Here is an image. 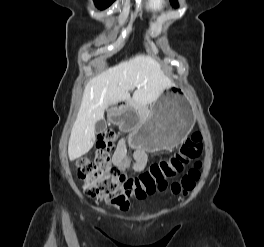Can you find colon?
<instances>
[{
    "instance_id": "1",
    "label": "colon",
    "mask_w": 264,
    "mask_h": 247,
    "mask_svg": "<svg viewBox=\"0 0 264 247\" xmlns=\"http://www.w3.org/2000/svg\"><path fill=\"white\" fill-rule=\"evenodd\" d=\"M117 137L111 127L104 128L98 136L97 151L93 160L83 157L77 163V175L83 182L85 194L92 199L109 203L125 211L132 200H142L170 187L174 194L188 195L199 179L202 166V135L194 133L170 157L153 163L137 177H128L121 169L114 168L110 153ZM193 163L180 181L169 185V180L183 173Z\"/></svg>"
}]
</instances>
